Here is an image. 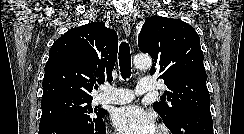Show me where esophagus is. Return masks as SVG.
<instances>
[{"mask_svg": "<svg viewBox=\"0 0 244 134\" xmlns=\"http://www.w3.org/2000/svg\"><path fill=\"white\" fill-rule=\"evenodd\" d=\"M121 22H122V27H123V30L125 32V35L127 37H129L130 34H131V26H130V22H129L128 18L127 17H123Z\"/></svg>", "mask_w": 244, "mask_h": 134, "instance_id": "34e87169", "label": "esophagus"}]
</instances>
